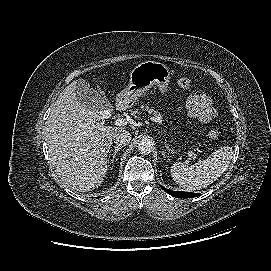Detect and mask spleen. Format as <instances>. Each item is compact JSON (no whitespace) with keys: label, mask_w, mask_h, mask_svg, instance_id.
Instances as JSON below:
<instances>
[{"label":"spleen","mask_w":271,"mask_h":271,"mask_svg":"<svg viewBox=\"0 0 271 271\" xmlns=\"http://www.w3.org/2000/svg\"><path fill=\"white\" fill-rule=\"evenodd\" d=\"M233 150L230 146L221 147L204 160L191 166L177 162L171 166L173 180L188 191L200 190L212 184L228 168Z\"/></svg>","instance_id":"obj_1"}]
</instances>
